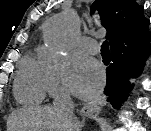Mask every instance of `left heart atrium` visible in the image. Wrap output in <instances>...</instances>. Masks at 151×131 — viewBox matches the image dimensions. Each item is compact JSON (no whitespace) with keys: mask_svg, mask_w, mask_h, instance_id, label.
<instances>
[{"mask_svg":"<svg viewBox=\"0 0 151 131\" xmlns=\"http://www.w3.org/2000/svg\"><path fill=\"white\" fill-rule=\"evenodd\" d=\"M104 81V71L96 61L81 54L72 58L70 86L76 96L82 99L97 96L103 88Z\"/></svg>","mask_w":151,"mask_h":131,"instance_id":"obj_1","label":"left heart atrium"}]
</instances>
